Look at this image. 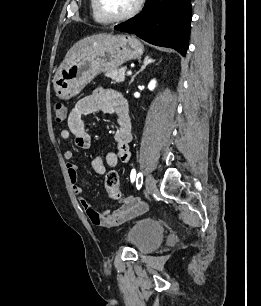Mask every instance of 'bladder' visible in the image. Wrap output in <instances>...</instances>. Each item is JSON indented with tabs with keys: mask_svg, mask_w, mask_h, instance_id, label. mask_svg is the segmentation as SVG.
I'll return each instance as SVG.
<instances>
[{
	"mask_svg": "<svg viewBox=\"0 0 261 306\" xmlns=\"http://www.w3.org/2000/svg\"><path fill=\"white\" fill-rule=\"evenodd\" d=\"M163 237L162 225L153 219L144 218L130 227L125 240L137 253L147 254L161 244Z\"/></svg>",
	"mask_w": 261,
	"mask_h": 306,
	"instance_id": "31cf9c89",
	"label": "bladder"
}]
</instances>
